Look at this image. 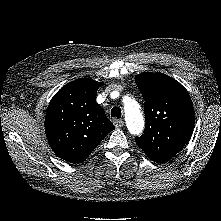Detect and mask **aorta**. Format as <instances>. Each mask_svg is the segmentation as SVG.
<instances>
[{"label":"aorta","mask_w":221,"mask_h":221,"mask_svg":"<svg viewBox=\"0 0 221 221\" xmlns=\"http://www.w3.org/2000/svg\"><path fill=\"white\" fill-rule=\"evenodd\" d=\"M124 112L129 132L134 135L140 134L144 128V119L139 104L134 99L129 98L124 101Z\"/></svg>","instance_id":"aorta-1"}]
</instances>
